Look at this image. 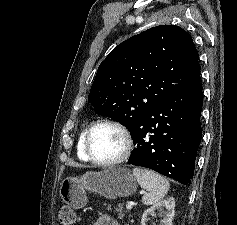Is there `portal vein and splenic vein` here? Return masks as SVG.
I'll use <instances>...</instances> for the list:
<instances>
[{
  "label": "portal vein and splenic vein",
  "mask_w": 237,
  "mask_h": 225,
  "mask_svg": "<svg viewBox=\"0 0 237 225\" xmlns=\"http://www.w3.org/2000/svg\"><path fill=\"white\" fill-rule=\"evenodd\" d=\"M126 208L129 209V210L132 209V204L131 203H127Z\"/></svg>",
  "instance_id": "portal-vein-and-splenic-vein-1"
}]
</instances>
